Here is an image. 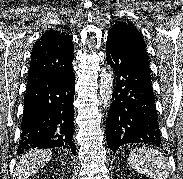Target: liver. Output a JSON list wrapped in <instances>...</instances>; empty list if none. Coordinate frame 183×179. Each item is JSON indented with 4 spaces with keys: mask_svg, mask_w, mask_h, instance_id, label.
<instances>
[{
    "mask_svg": "<svg viewBox=\"0 0 183 179\" xmlns=\"http://www.w3.org/2000/svg\"><path fill=\"white\" fill-rule=\"evenodd\" d=\"M52 158V152L31 150L19 158L16 166L17 179L28 178L43 168Z\"/></svg>",
    "mask_w": 183,
    "mask_h": 179,
    "instance_id": "obj_1",
    "label": "liver"
}]
</instances>
